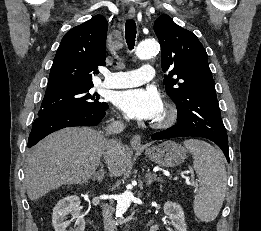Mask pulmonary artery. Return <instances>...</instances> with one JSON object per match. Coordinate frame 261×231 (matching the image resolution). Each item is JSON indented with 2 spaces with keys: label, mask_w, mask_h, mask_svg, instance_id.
I'll return each mask as SVG.
<instances>
[{
  "label": "pulmonary artery",
  "mask_w": 261,
  "mask_h": 231,
  "mask_svg": "<svg viewBox=\"0 0 261 231\" xmlns=\"http://www.w3.org/2000/svg\"><path fill=\"white\" fill-rule=\"evenodd\" d=\"M154 77V68L146 65L132 71L110 73L103 84L108 88H129L152 81Z\"/></svg>",
  "instance_id": "pulmonary-artery-1"
}]
</instances>
